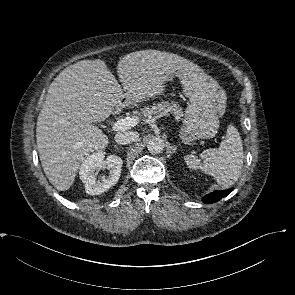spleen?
Returning <instances> with one entry per match:
<instances>
[{"instance_id": "obj_1", "label": "spleen", "mask_w": 295, "mask_h": 295, "mask_svg": "<svg viewBox=\"0 0 295 295\" xmlns=\"http://www.w3.org/2000/svg\"><path fill=\"white\" fill-rule=\"evenodd\" d=\"M185 162L190 169H201L212 175L218 185L227 188L233 185L241 175L243 167V144L238 130L229 125L226 138L218 149L212 148L202 152L201 163L195 155H186Z\"/></svg>"}]
</instances>
